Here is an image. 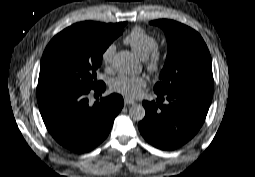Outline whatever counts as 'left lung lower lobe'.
<instances>
[{
  "label": "left lung lower lobe",
  "mask_w": 255,
  "mask_h": 177,
  "mask_svg": "<svg viewBox=\"0 0 255 177\" xmlns=\"http://www.w3.org/2000/svg\"><path fill=\"white\" fill-rule=\"evenodd\" d=\"M156 94L160 97L157 103L143 101L146 115L138 127L153 146L173 150L189 141L204 123L213 86H189ZM163 95L169 101L168 105L161 104Z\"/></svg>",
  "instance_id": "obj_1"
}]
</instances>
